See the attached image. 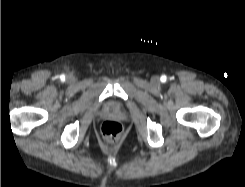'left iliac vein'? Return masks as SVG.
I'll return each mask as SVG.
<instances>
[{
	"label": "left iliac vein",
	"mask_w": 245,
	"mask_h": 187,
	"mask_svg": "<svg viewBox=\"0 0 245 187\" xmlns=\"http://www.w3.org/2000/svg\"><path fill=\"white\" fill-rule=\"evenodd\" d=\"M152 81L155 82V83L158 82V81H159V77H158V76H154V77L152 78Z\"/></svg>",
	"instance_id": "obj_1"
}]
</instances>
